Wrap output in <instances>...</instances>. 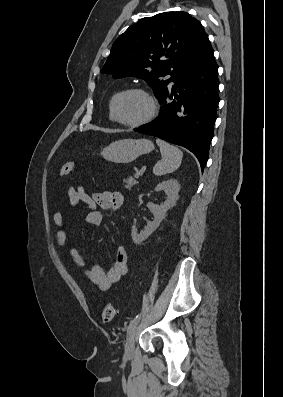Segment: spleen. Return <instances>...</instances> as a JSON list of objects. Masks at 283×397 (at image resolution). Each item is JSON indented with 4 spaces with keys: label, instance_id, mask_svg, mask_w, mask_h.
Masks as SVG:
<instances>
[{
    "label": "spleen",
    "instance_id": "3e777b00",
    "mask_svg": "<svg viewBox=\"0 0 283 397\" xmlns=\"http://www.w3.org/2000/svg\"><path fill=\"white\" fill-rule=\"evenodd\" d=\"M156 143L160 148L162 159L153 167V173L161 176L177 170L181 164L183 152L163 140L156 139Z\"/></svg>",
    "mask_w": 283,
    "mask_h": 397
}]
</instances>
